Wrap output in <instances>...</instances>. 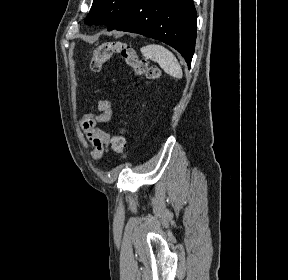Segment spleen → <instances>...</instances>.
<instances>
[{"label":"spleen","mask_w":288,"mask_h":280,"mask_svg":"<svg viewBox=\"0 0 288 280\" xmlns=\"http://www.w3.org/2000/svg\"><path fill=\"white\" fill-rule=\"evenodd\" d=\"M141 53L146 57L157 62L160 67L174 78H182L181 66L174 54L158 44H149L141 48Z\"/></svg>","instance_id":"3e777b00"}]
</instances>
